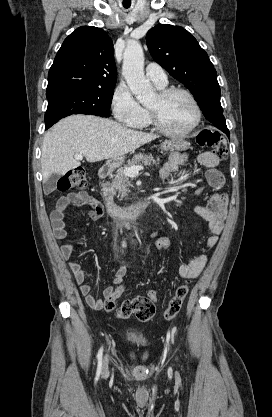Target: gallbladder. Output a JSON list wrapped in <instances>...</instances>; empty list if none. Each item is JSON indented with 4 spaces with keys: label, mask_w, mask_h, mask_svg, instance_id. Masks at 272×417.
<instances>
[{
    "label": "gallbladder",
    "mask_w": 272,
    "mask_h": 417,
    "mask_svg": "<svg viewBox=\"0 0 272 417\" xmlns=\"http://www.w3.org/2000/svg\"><path fill=\"white\" fill-rule=\"evenodd\" d=\"M59 179V174H52L45 182L43 189L45 194H50L56 189V184Z\"/></svg>",
    "instance_id": "obj_1"
}]
</instances>
